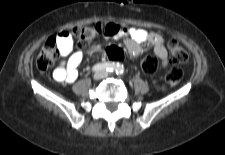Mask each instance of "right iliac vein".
I'll return each mask as SVG.
<instances>
[{
    "label": "right iliac vein",
    "instance_id": "1",
    "mask_svg": "<svg viewBox=\"0 0 225 155\" xmlns=\"http://www.w3.org/2000/svg\"><path fill=\"white\" fill-rule=\"evenodd\" d=\"M103 77H104V72H102V71H97V72L94 74L93 79H94V80H100V79L103 78Z\"/></svg>",
    "mask_w": 225,
    "mask_h": 155
}]
</instances>
